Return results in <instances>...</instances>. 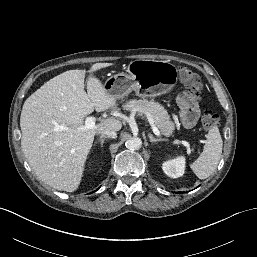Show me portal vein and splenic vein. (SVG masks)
<instances>
[{"instance_id":"portal-vein-and-splenic-vein-1","label":"portal vein and splenic vein","mask_w":257,"mask_h":257,"mask_svg":"<svg viewBox=\"0 0 257 257\" xmlns=\"http://www.w3.org/2000/svg\"><path fill=\"white\" fill-rule=\"evenodd\" d=\"M95 123H96V117L94 116H90V117H87L86 120H85V126L84 128L85 129H93L95 128ZM150 124H151V128H152V131L154 132L155 135L157 136H160L161 133L160 131L158 130V128L155 126L154 122L152 119H150ZM65 129L63 126H56V130H63ZM181 143L186 146L187 148H190V145L188 142L186 141H181Z\"/></svg>"}]
</instances>
